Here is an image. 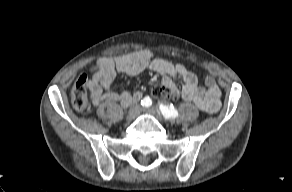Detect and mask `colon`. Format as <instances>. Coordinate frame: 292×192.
<instances>
[{"label":"colon","mask_w":292,"mask_h":192,"mask_svg":"<svg viewBox=\"0 0 292 192\" xmlns=\"http://www.w3.org/2000/svg\"><path fill=\"white\" fill-rule=\"evenodd\" d=\"M100 65H95L91 68L92 72L98 71ZM88 77L86 74L81 75L74 84L71 91V102L76 111L82 112L88 106ZM150 93L157 99H170L172 94L164 86L156 85L150 89Z\"/></svg>","instance_id":"5ec220e1"}]
</instances>
